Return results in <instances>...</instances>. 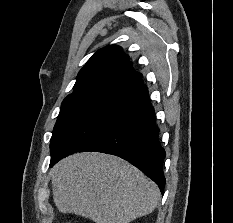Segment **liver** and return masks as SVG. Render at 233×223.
I'll list each match as a JSON object with an SVG mask.
<instances>
[{
	"label": "liver",
	"mask_w": 233,
	"mask_h": 223,
	"mask_svg": "<svg viewBox=\"0 0 233 223\" xmlns=\"http://www.w3.org/2000/svg\"><path fill=\"white\" fill-rule=\"evenodd\" d=\"M50 175L59 211L94 223H129L151 213L159 197L154 181L108 153H73L58 161Z\"/></svg>",
	"instance_id": "1"
}]
</instances>
